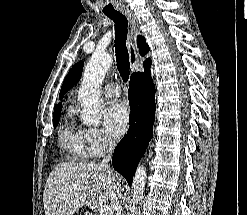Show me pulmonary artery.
Here are the masks:
<instances>
[{"mask_svg":"<svg viewBox=\"0 0 247 215\" xmlns=\"http://www.w3.org/2000/svg\"><path fill=\"white\" fill-rule=\"evenodd\" d=\"M103 93L106 97L116 98V97L120 96L121 89H120V86L118 84L109 83V84L105 85V87L103 88Z\"/></svg>","mask_w":247,"mask_h":215,"instance_id":"obj_1","label":"pulmonary artery"}]
</instances>
